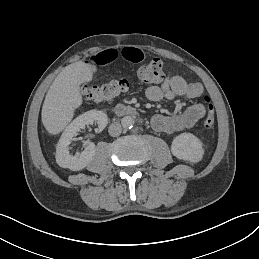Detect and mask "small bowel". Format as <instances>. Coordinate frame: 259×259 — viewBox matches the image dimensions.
I'll list each match as a JSON object with an SVG mask.
<instances>
[{"instance_id": "obj_1", "label": "small bowel", "mask_w": 259, "mask_h": 259, "mask_svg": "<svg viewBox=\"0 0 259 259\" xmlns=\"http://www.w3.org/2000/svg\"><path fill=\"white\" fill-rule=\"evenodd\" d=\"M119 58L131 62H140L145 59V53L137 48L125 47L122 50L107 49L90 56L87 63L92 71L98 66L108 65ZM204 94L200 83H189L178 75L168 73L161 85L151 86L146 95L152 101L163 99L173 100L176 97L184 99H200ZM207 108L202 103L188 107L184 112L175 115L156 114L151 118V126L155 131L173 134L194 126L205 114Z\"/></svg>"}]
</instances>
